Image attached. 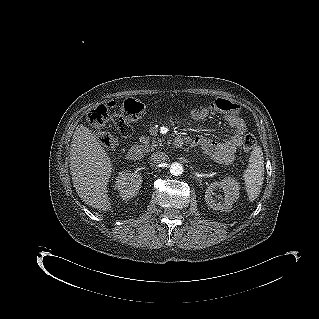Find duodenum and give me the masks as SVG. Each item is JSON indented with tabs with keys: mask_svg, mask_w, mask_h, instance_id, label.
I'll return each mask as SVG.
<instances>
[{
	"mask_svg": "<svg viewBox=\"0 0 319 319\" xmlns=\"http://www.w3.org/2000/svg\"><path fill=\"white\" fill-rule=\"evenodd\" d=\"M185 142H186V139L183 136L178 135V136L175 137L174 144L176 146L180 147ZM126 156L130 160H137V159H140L143 156V153H142L141 149L138 146H132L128 150Z\"/></svg>",
	"mask_w": 319,
	"mask_h": 319,
	"instance_id": "obj_1",
	"label": "duodenum"
}]
</instances>
